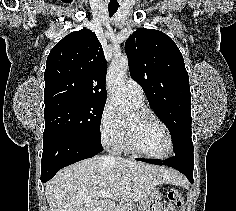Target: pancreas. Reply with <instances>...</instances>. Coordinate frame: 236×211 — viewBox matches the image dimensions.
<instances>
[{
	"label": "pancreas",
	"mask_w": 236,
	"mask_h": 211,
	"mask_svg": "<svg viewBox=\"0 0 236 211\" xmlns=\"http://www.w3.org/2000/svg\"><path fill=\"white\" fill-rule=\"evenodd\" d=\"M115 211H136L134 205L127 204L126 202L120 203L119 206H117Z\"/></svg>",
	"instance_id": "1"
}]
</instances>
